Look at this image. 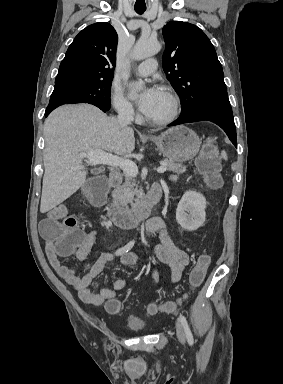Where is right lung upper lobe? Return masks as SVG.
Listing matches in <instances>:
<instances>
[{
  "label": "right lung upper lobe",
  "instance_id": "1",
  "mask_svg": "<svg viewBox=\"0 0 283 384\" xmlns=\"http://www.w3.org/2000/svg\"><path fill=\"white\" fill-rule=\"evenodd\" d=\"M118 36L106 22L83 29L69 46L55 80V87L93 80L112 79Z\"/></svg>",
  "mask_w": 283,
  "mask_h": 384
}]
</instances>
